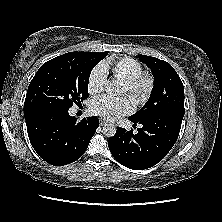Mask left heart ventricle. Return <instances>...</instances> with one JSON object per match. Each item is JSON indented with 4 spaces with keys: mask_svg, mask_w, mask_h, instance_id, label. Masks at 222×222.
I'll use <instances>...</instances> for the list:
<instances>
[{
    "mask_svg": "<svg viewBox=\"0 0 222 222\" xmlns=\"http://www.w3.org/2000/svg\"><path fill=\"white\" fill-rule=\"evenodd\" d=\"M122 91H125V87H123Z\"/></svg>",
    "mask_w": 222,
    "mask_h": 222,
    "instance_id": "left-heart-ventricle-1",
    "label": "left heart ventricle"
}]
</instances>
